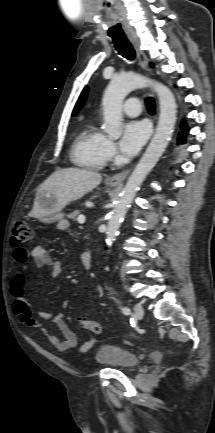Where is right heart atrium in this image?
<instances>
[{"label":"right heart atrium","mask_w":215,"mask_h":433,"mask_svg":"<svg viewBox=\"0 0 215 433\" xmlns=\"http://www.w3.org/2000/svg\"><path fill=\"white\" fill-rule=\"evenodd\" d=\"M104 154L107 160H110L116 155V147L113 141L106 139L104 145Z\"/></svg>","instance_id":"d8ad5b80"}]
</instances>
